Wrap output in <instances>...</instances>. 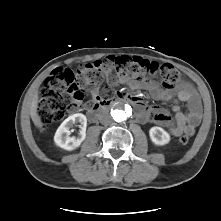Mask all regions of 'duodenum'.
Wrapping results in <instances>:
<instances>
[{
	"instance_id": "1",
	"label": "duodenum",
	"mask_w": 221,
	"mask_h": 221,
	"mask_svg": "<svg viewBox=\"0 0 221 221\" xmlns=\"http://www.w3.org/2000/svg\"><path fill=\"white\" fill-rule=\"evenodd\" d=\"M119 99L121 101H126L131 105L137 106L138 108L142 107L143 104V102L140 99H137L132 95L118 94L114 98H104L93 102L87 111L88 118L92 121H95L101 112L106 111L108 108L114 105Z\"/></svg>"
}]
</instances>
